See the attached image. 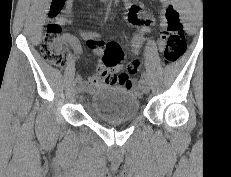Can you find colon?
<instances>
[{"instance_id":"obj_1","label":"colon","mask_w":231,"mask_h":177,"mask_svg":"<svg viewBox=\"0 0 231 177\" xmlns=\"http://www.w3.org/2000/svg\"><path fill=\"white\" fill-rule=\"evenodd\" d=\"M167 2V0H165ZM59 0H53L51 6L52 21L46 26L42 43L41 52L44 59L51 65L63 67L68 59L69 54L65 49L64 40L61 35V25L56 21L55 17L60 10ZM165 30L161 34L164 42V63L169 65L177 61L186 51V40L182 22L179 13L172 5H168L164 13ZM88 45L91 49L103 48L102 61L106 66L118 65L124 58V52L117 43H104L98 39H89ZM138 61H133L128 66V74H134L138 69ZM113 83L119 81V76L114 74L111 77ZM124 85L131 90H138L129 78L124 81Z\"/></svg>"}]
</instances>
